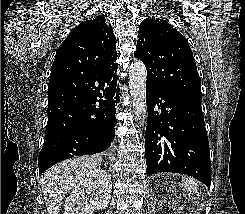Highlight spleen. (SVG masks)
I'll return each instance as SVG.
<instances>
[{"mask_svg":"<svg viewBox=\"0 0 245 214\" xmlns=\"http://www.w3.org/2000/svg\"><path fill=\"white\" fill-rule=\"evenodd\" d=\"M182 184L188 191L198 193V184L195 182V180L184 178L182 179Z\"/></svg>","mask_w":245,"mask_h":214,"instance_id":"1","label":"spleen"}]
</instances>
